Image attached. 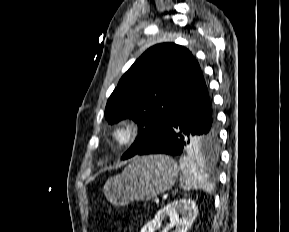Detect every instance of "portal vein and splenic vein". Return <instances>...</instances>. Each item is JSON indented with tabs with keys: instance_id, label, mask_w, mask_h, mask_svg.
Here are the masks:
<instances>
[{
	"instance_id": "obj_1",
	"label": "portal vein and splenic vein",
	"mask_w": 289,
	"mask_h": 232,
	"mask_svg": "<svg viewBox=\"0 0 289 232\" xmlns=\"http://www.w3.org/2000/svg\"><path fill=\"white\" fill-rule=\"evenodd\" d=\"M159 201H160L159 198H155V199H154V202H155L156 204L159 203Z\"/></svg>"
}]
</instances>
